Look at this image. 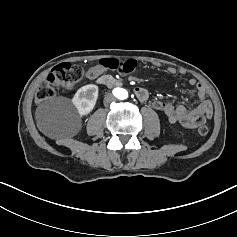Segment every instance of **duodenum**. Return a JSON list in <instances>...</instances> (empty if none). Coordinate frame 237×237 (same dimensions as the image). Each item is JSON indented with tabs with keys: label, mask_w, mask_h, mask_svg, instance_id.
<instances>
[{
	"label": "duodenum",
	"mask_w": 237,
	"mask_h": 237,
	"mask_svg": "<svg viewBox=\"0 0 237 237\" xmlns=\"http://www.w3.org/2000/svg\"><path fill=\"white\" fill-rule=\"evenodd\" d=\"M98 84L108 87V88H114V87H120L122 86V82L114 77L103 75L99 76L97 79Z\"/></svg>",
	"instance_id": "410a0bca"
}]
</instances>
